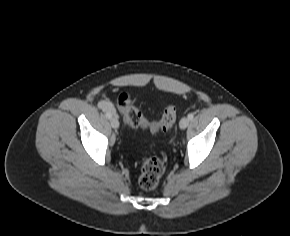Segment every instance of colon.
Returning <instances> with one entry per match:
<instances>
[{
  "label": "colon",
  "instance_id": "obj_1",
  "mask_svg": "<svg viewBox=\"0 0 290 236\" xmlns=\"http://www.w3.org/2000/svg\"><path fill=\"white\" fill-rule=\"evenodd\" d=\"M117 104L126 122L134 128H142L151 132L167 131L176 121V109L172 105H168L160 118L148 119L144 113L137 107L133 106L130 98L126 93L119 95ZM164 173V163L156 156L149 157L144 160L139 184L144 190H152L156 188Z\"/></svg>",
  "mask_w": 290,
  "mask_h": 236
}]
</instances>
